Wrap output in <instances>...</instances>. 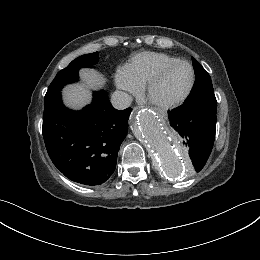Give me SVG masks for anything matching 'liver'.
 <instances>
[{
  "instance_id": "liver-1",
  "label": "liver",
  "mask_w": 260,
  "mask_h": 260,
  "mask_svg": "<svg viewBox=\"0 0 260 260\" xmlns=\"http://www.w3.org/2000/svg\"><path fill=\"white\" fill-rule=\"evenodd\" d=\"M81 78L91 88L101 87L105 79L96 71L83 69L80 72ZM64 103L72 108L79 109L90 102L89 91L81 85H69L63 90Z\"/></svg>"
}]
</instances>
